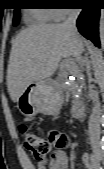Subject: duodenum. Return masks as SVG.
<instances>
[{
  "label": "duodenum",
  "mask_w": 104,
  "mask_h": 169,
  "mask_svg": "<svg viewBox=\"0 0 104 169\" xmlns=\"http://www.w3.org/2000/svg\"><path fill=\"white\" fill-rule=\"evenodd\" d=\"M84 107L81 103H77L73 106V115L76 120L83 117Z\"/></svg>",
  "instance_id": "410a0bca"
}]
</instances>
